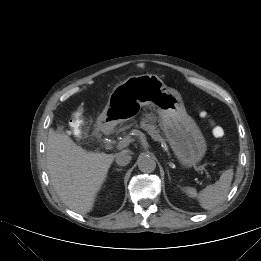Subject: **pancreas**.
I'll return each instance as SVG.
<instances>
[{"instance_id":"cf45deb5","label":"pancreas","mask_w":261,"mask_h":261,"mask_svg":"<svg viewBox=\"0 0 261 261\" xmlns=\"http://www.w3.org/2000/svg\"><path fill=\"white\" fill-rule=\"evenodd\" d=\"M140 127L143 128L144 130H146L148 132V134L155 141H159V142H163L164 141L163 137L160 135V131L157 128V125L153 121H150L148 119H143L140 122Z\"/></svg>"}]
</instances>
